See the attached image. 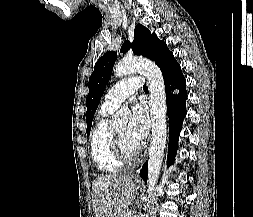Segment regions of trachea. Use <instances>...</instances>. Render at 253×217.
Masks as SVG:
<instances>
[{
  "label": "trachea",
  "mask_w": 253,
  "mask_h": 217,
  "mask_svg": "<svg viewBox=\"0 0 253 217\" xmlns=\"http://www.w3.org/2000/svg\"><path fill=\"white\" fill-rule=\"evenodd\" d=\"M143 89H144L145 91H147V90H148V87H147L146 85H144V86H143Z\"/></svg>",
  "instance_id": "3493384b"
}]
</instances>
